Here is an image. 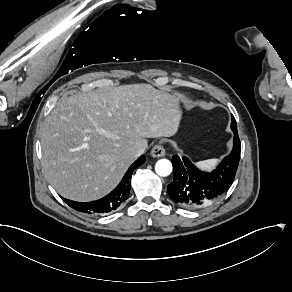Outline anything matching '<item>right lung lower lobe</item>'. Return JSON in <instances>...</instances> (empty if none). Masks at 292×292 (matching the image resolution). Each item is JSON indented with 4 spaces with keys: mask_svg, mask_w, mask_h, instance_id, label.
I'll use <instances>...</instances> for the list:
<instances>
[{
    "mask_svg": "<svg viewBox=\"0 0 292 292\" xmlns=\"http://www.w3.org/2000/svg\"><path fill=\"white\" fill-rule=\"evenodd\" d=\"M145 162V156L139 157L125 173L119 185L107 196L92 202H76L62 198L71 208L88 214L108 213L117 209L129 196L130 177L137 166Z\"/></svg>",
    "mask_w": 292,
    "mask_h": 292,
    "instance_id": "obj_1",
    "label": "right lung lower lobe"
}]
</instances>
